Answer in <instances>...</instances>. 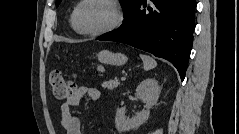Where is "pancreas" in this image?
<instances>
[{
  "instance_id": "cf45deb5",
  "label": "pancreas",
  "mask_w": 239,
  "mask_h": 134,
  "mask_svg": "<svg viewBox=\"0 0 239 134\" xmlns=\"http://www.w3.org/2000/svg\"><path fill=\"white\" fill-rule=\"evenodd\" d=\"M119 86H120V82H119L118 79H112V80H109V81H104L102 83V87L107 88L108 90H114Z\"/></svg>"
}]
</instances>
